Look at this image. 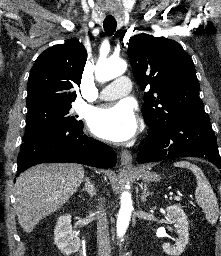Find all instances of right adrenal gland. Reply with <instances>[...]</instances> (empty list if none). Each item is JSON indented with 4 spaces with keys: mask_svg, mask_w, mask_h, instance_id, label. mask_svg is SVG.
Segmentation results:
<instances>
[{
    "mask_svg": "<svg viewBox=\"0 0 221 256\" xmlns=\"http://www.w3.org/2000/svg\"><path fill=\"white\" fill-rule=\"evenodd\" d=\"M84 182H85V187L82 189V191H87V193L89 194L90 198H93V196L95 195V187H94V183H92L89 179V177H84Z\"/></svg>",
    "mask_w": 221,
    "mask_h": 256,
    "instance_id": "right-adrenal-gland-1",
    "label": "right adrenal gland"
}]
</instances>
